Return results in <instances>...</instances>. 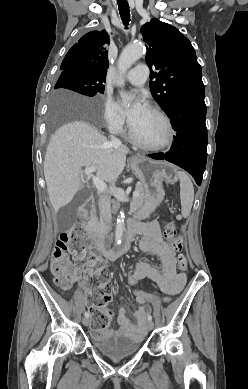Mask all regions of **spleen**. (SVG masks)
Masks as SVG:
<instances>
[{"label":"spleen","instance_id":"3e777b00","mask_svg":"<svg viewBox=\"0 0 248 389\" xmlns=\"http://www.w3.org/2000/svg\"><path fill=\"white\" fill-rule=\"evenodd\" d=\"M180 180L181 213L188 217L194 201V187L190 177L183 171L177 173Z\"/></svg>","mask_w":248,"mask_h":389}]
</instances>
